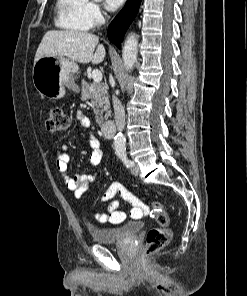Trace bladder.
<instances>
[{
    "label": "bladder",
    "instance_id": "1",
    "mask_svg": "<svg viewBox=\"0 0 247 296\" xmlns=\"http://www.w3.org/2000/svg\"><path fill=\"white\" fill-rule=\"evenodd\" d=\"M144 227L141 221H130L119 227L100 228L89 227L93 240L101 244L122 242L139 233Z\"/></svg>",
    "mask_w": 247,
    "mask_h": 296
}]
</instances>
